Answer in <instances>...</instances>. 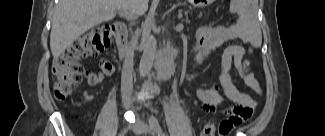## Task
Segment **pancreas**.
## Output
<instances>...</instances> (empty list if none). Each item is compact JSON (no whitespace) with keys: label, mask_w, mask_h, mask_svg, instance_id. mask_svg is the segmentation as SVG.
I'll use <instances>...</instances> for the list:
<instances>
[{"label":"pancreas","mask_w":325,"mask_h":136,"mask_svg":"<svg viewBox=\"0 0 325 136\" xmlns=\"http://www.w3.org/2000/svg\"><path fill=\"white\" fill-rule=\"evenodd\" d=\"M180 15L181 16H187L182 18V23L183 24H191L192 19H199L200 18V13L197 12L195 7L193 5H188L187 7H184V9L180 10Z\"/></svg>","instance_id":"1"}]
</instances>
